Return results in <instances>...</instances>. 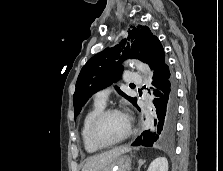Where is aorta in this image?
Returning a JSON list of instances; mask_svg holds the SVG:
<instances>
[{"instance_id": "1", "label": "aorta", "mask_w": 223, "mask_h": 171, "mask_svg": "<svg viewBox=\"0 0 223 171\" xmlns=\"http://www.w3.org/2000/svg\"><path fill=\"white\" fill-rule=\"evenodd\" d=\"M132 64L136 67V69L139 72H141L143 74H149L150 73V68H149L148 65H146V64H144L142 62H139V61H133Z\"/></svg>"}]
</instances>
